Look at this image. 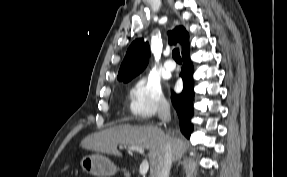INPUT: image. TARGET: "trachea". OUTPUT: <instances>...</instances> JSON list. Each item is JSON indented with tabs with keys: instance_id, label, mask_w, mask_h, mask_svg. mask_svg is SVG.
<instances>
[{
	"instance_id": "3493384b",
	"label": "trachea",
	"mask_w": 287,
	"mask_h": 177,
	"mask_svg": "<svg viewBox=\"0 0 287 177\" xmlns=\"http://www.w3.org/2000/svg\"><path fill=\"white\" fill-rule=\"evenodd\" d=\"M172 57L175 61H182L181 59V56H180V52H179V49L178 48H175L173 51H172Z\"/></svg>"
}]
</instances>
